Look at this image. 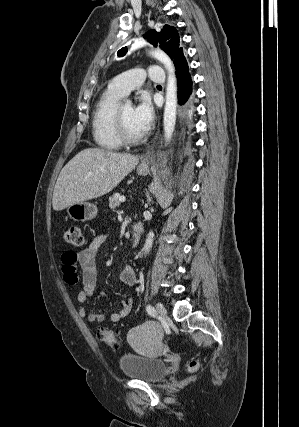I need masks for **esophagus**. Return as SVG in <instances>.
Here are the masks:
<instances>
[{
    "mask_svg": "<svg viewBox=\"0 0 299 427\" xmlns=\"http://www.w3.org/2000/svg\"><path fill=\"white\" fill-rule=\"evenodd\" d=\"M152 150H148L145 157L143 158L141 165L148 166L151 160Z\"/></svg>",
    "mask_w": 299,
    "mask_h": 427,
    "instance_id": "1",
    "label": "esophagus"
}]
</instances>
